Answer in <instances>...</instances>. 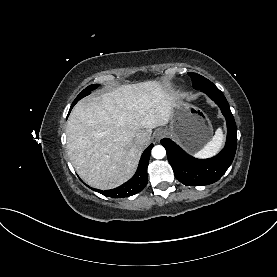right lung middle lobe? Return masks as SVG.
<instances>
[{
	"label": "right lung middle lobe",
	"mask_w": 277,
	"mask_h": 277,
	"mask_svg": "<svg viewBox=\"0 0 277 277\" xmlns=\"http://www.w3.org/2000/svg\"><path fill=\"white\" fill-rule=\"evenodd\" d=\"M98 87V84H93L88 86L87 88H85L74 100V102L71 105L70 111L72 109V107L80 100L82 99L84 96L89 95L91 93L92 90H94L95 88Z\"/></svg>",
	"instance_id": "1"
}]
</instances>
